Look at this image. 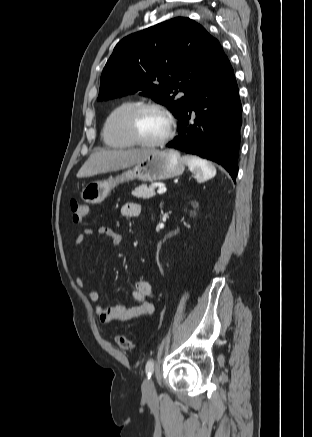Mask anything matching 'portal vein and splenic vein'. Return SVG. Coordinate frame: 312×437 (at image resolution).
Instances as JSON below:
<instances>
[{
    "label": "portal vein and splenic vein",
    "mask_w": 312,
    "mask_h": 437,
    "mask_svg": "<svg viewBox=\"0 0 312 437\" xmlns=\"http://www.w3.org/2000/svg\"><path fill=\"white\" fill-rule=\"evenodd\" d=\"M166 190H167V189H166L165 187H162V188H159V189H158L157 193H158V194H163V193L166 192Z\"/></svg>",
    "instance_id": "1"
}]
</instances>
